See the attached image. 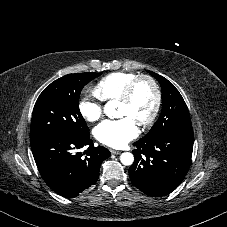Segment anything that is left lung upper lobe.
Returning a JSON list of instances; mask_svg holds the SVG:
<instances>
[{"mask_svg": "<svg viewBox=\"0 0 227 227\" xmlns=\"http://www.w3.org/2000/svg\"><path fill=\"white\" fill-rule=\"evenodd\" d=\"M147 72L161 85L162 111L147 135L140 140L151 141L168 135L193 132L188 108L179 91L161 75L148 70Z\"/></svg>", "mask_w": 227, "mask_h": 227, "instance_id": "1", "label": "left lung upper lobe"}]
</instances>
